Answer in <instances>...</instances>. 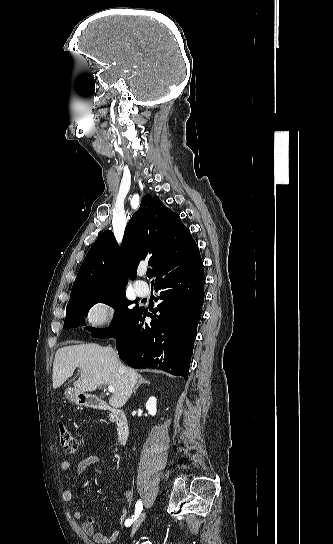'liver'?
<instances>
[{
  "mask_svg": "<svg viewBox=\"0 0 333 544\" xmlns=\"http://www.w3.org/2000/svg\"><path fill=\"white\" fill-rule=\"evenodd\" d=\"M80 377L73 383L82 392H92L102 385L114 387L109 404L121 408L130 398L140 375L124 366L111 347L96 343L65 346L57 350L53 363V388H59L76 368Z\"/></svg>",
  "mask_w": 333,
  "mask_h": 544,
  "instance_id": "liver-1",
  "label": "liver"
}]
</instances>
